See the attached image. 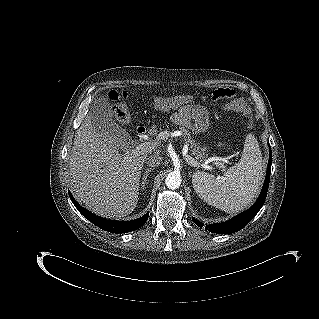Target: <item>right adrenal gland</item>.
<instances>
[{"label":"right adrenal gland","mask_w":319,"mask_h":319,"mask_svg":"<svg viewBox=\"0 0 319 319\" xmlns=\"http://www.w3.org/2000/svg\"><path fill=\"white\" fill-rule=\"evenodd\" d=\"M153 169L152 168H148V169H146L145 170V172H144V174H143V176H142V178H141V187L144 189V188H146V185L148 184V176H149V172L150 171H152Z\"/></svg>","instance_id":"obj_1"}]
</instances>
